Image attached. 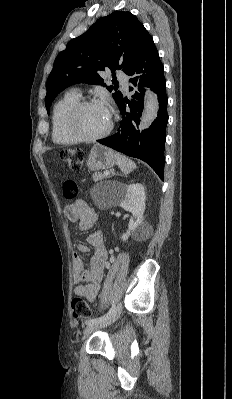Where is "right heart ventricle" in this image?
<instances>
[{
    "label": "right heart ventricle",
    "instance_id": "e07e8e85",
    "mask_svg": "<svg viewBox=\"0 0 232 399\" xmlns=\"http://www.w3.org/2000/svg\"><path fill=\"white\" fill-rule=\"evenodd\" d=\"M78 102L79 96L67 94L54 105L51 116V136L55 144L69 147L78 143L68 134L66 129L67 115Z\"/></svg>",
    "mask_w": 232,
    "mask_h": 399
}]
</instances>
